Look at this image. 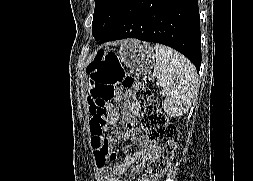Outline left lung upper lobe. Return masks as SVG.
Wrapping results in <instances>:
<instances>
[{"label":"left lung upper lobe","mask_w":253,"mask_h":181,"mask_svg":"<svg viewBox=\"0 0 253 181\" xmlns=\"http://www.w3.org/2000/svg\"><path fill=\"white\" fill-rule=\"evenodd\" d=\"M131 0H95L93 14V37L99 40L121 16Z\"/></svg>","instance_id":"obj_1"}]
</instances>
